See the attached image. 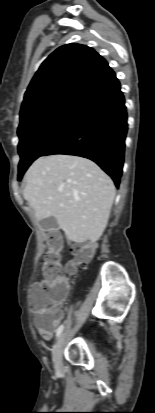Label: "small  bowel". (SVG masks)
Returning <instances> with one entry per match:
<instances>
[{
  "label": "small bowel",
  "instance_id": "1",
  "mask_svg": "<svg viewBox=\"0 0 155 413\" xmlns=\"http://www.w3.org/2000/svg\"><path fill=\"white\" fill-rule=\"evenodd\" d=\"M42 291H44V287L42 284H36L35 286H33V288L31 289L29 300L32 306L35 326L39 334L45 340H51L57 326L63 319V311L61 310V304H59L55 308V310L48 311L45 315L46 317H44L41 313H38L37 311H35L33 308L35 298L37 294Z\"/></svg>",
  "mask_w": 155,
  "mask_h": 413
}]
</instances>
